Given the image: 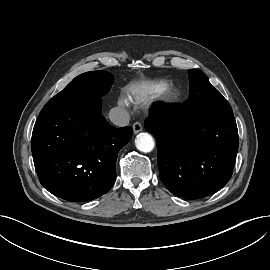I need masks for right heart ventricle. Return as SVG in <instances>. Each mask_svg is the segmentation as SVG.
Wrapping results in <instances>:
<instances>
[{
  "instance_id": "e07e8e85",
  "label": "right heart ventricle",
  "mask_w": 270,
  "mask_h": 270,
  "mask_svg": "<svg viewBox=\"0 0 270 270\" xmlns=\"http://www.w3.org/2000/svg\"><path fill=\"white\" fill-rule=\"evenodd\" d=\"M168 86L169 84L165 81L140 84L131 88L127 97L133 104H144L166 91Z\"/></svg>"
}]
</instances>
